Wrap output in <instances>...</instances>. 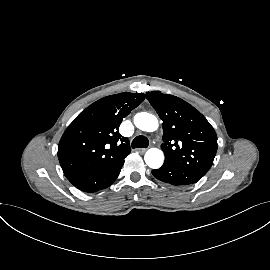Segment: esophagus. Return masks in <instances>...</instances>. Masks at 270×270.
<instances>
[{"mask_svg":"<svg viewBox=\"0 0 270 270\" xmlns=\"http://www.w3.org/2000/svg\"><path fill=\"white\" fill-rule=\"evenodd\" d=\"M138 152H140V153H145V152H146V148H139V149H138Z\"/></svg>","mask_w":270,"mask_h":270,"instance_id":"esophagus-1","label":"esophagus"}]
</instances>
